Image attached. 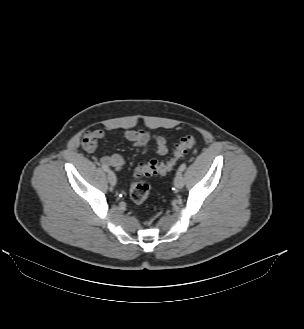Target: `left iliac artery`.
Masks as SVG:
<instances>
[{
	"label": "left iliac artery",
	"mask_w": 304,
	"mask_h": 329,
	"mask_svg": "<svg viewBox=\"0 0 304 329\" xmlns=\"http://www.w3.org/2000/svg\"><path fill=\"white\" fill-rule=\"evenodd\" d=\"M186 166H187L186 163L181 164L179 170L184 171L186 169Z\"/></svg>",
	"instance_id": "obj_1"
}]
</instances>
